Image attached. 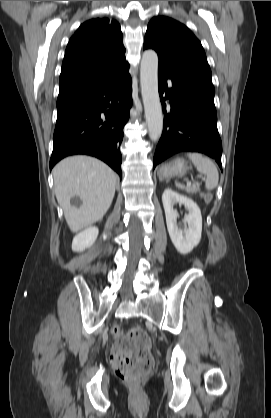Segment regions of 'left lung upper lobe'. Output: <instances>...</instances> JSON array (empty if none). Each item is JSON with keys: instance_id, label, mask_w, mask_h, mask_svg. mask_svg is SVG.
Masks as SVG:
<instances>
[{"instance_id": "5c2ea615", "label": "left lung upper lobe", "mask_w": 271, "mask_h": 418, "mask_svg": "<svg viewBox=\"0 0 271 418\" xmlns=\"http://www.w3.org/2000/svg\"><path fill=\"white\" fill-rule=\"evenodd\" d=\"M154 49L159 64L182 71L212 84V74L204 49L194 34L180 22L165 16L148 24L143 49Z\"/></svg>"}]
</instances>
